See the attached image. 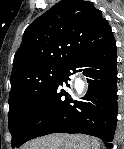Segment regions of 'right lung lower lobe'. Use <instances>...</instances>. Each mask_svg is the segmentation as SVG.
Segmentation results:
<instances>
[{
  "label": "right lung lower lobe",
  "mask_w": 124,
  "mask_h": 149,
  "mask_svg": "<svg viewBox=\"0 0 124 149\" xmlns=\"http://www.w3.org/2000/svg\"><path fill=\"white\" fill-rule=\"evenodd\" d=\"M117 52L112 38L105 45L67 64L29 121L16 147L52 133H81L102 139L107 148L117 124ZM87 77L86 95L77 100L69 91L70 76Z\"/></svg>",
  "instance_id": "obj_1"
}]
</instances>
